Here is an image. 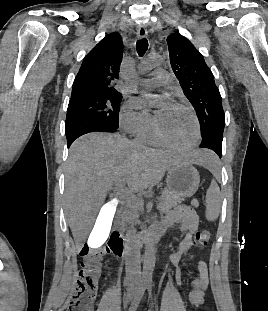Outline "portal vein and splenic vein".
Returning <instances> with one entry per match:
<instances>
[{
	"mask_svg": "<svg viewBox=\"0 0 268 311\" xmlns=\"http://www.w3.org/2000/svg\"><path fill=\"white\" fill-rule=\"evenodd\" d=\"M125 183V181L120 182V184H118V188L123 193L124 197H129L131 196V192L125 188Z\"/></svg>",
	"mask_w": 268,
	"mask_h": 311,
	"instance_id": "18ae733b",
	"label": "portal vein and splenic vein"
}]
</instances>
